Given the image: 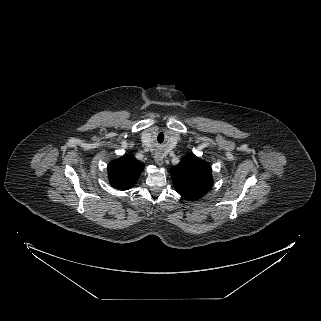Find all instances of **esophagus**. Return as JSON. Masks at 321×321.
<instances>
[{
  "mask_svg": "<svg viewBox=\"0 0 321 321\" xmlns=\"http://www.w3.org/2000/svg\"><path fill=\"white\" fill-rule=\"evenodd\" d=\"M155 162L157 163V165L162 166L163 165V157L162 154L160 152H157L154 156Z\"/></svg>",
  "mask_w": 321,
  "mask_h": 321,
  "instance_id": "obj_1",
  "label": "esophagus"
}]
</instances>
